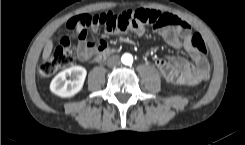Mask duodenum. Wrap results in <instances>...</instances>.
Returning <instances> with one entry per match:
<instances>
[{
    "instance_id": "1",
    "label": "duodenum",
    "mask_w": 245,
    "mask_h": 145,
    "mask_svg": "<svg viewBox=\"0 0 245 145\" xmlns=\"http://www.w3.org/2000/svg\"><path fill=\"white\" fill-rule=\"evenodd\" d=\"M114 53V50L111 48H106L104 51L99 52L95 56L96 61H103L110 57Z\"/></svg>"
}]
</instances>
